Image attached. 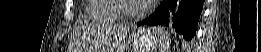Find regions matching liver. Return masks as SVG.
Masks as SVG:
<instances>
[{
  "instance_id": "6515ba94",
  "label": "liver",
  "mask_w": 261,
  "mask_h": 52,
  "mask_svg": "<svg viewBox=\"0 0 261 52\" xmlns=\"http://www.w3.org/2000/svg\"><path fill=\"white\" fill-rule=\"evenodd\" d=\"M128 31V28L105 25L101 29L100 37L102 38L103 50H106L104 47H107L108 50L115 49L117 47H122V42L126 37Z\"/></svg>"
}]
</instances>
